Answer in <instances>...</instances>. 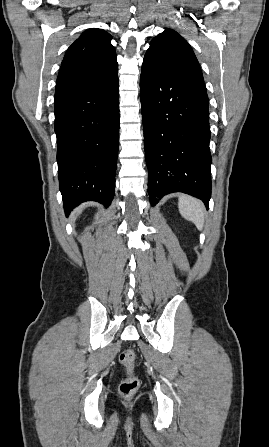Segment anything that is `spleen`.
<instances>
[{
	"label": "spleen",
	"instance_id": "obj_1",
	"mask_svg": "<svg viewBox=\"0 0 269 447\" xmlns=\"http://www.w3.org/2000/svg\"><path fill=\"white\" fill-rule=\"evenodd\" d=\"M178 208L181 216L189 222L198 227V229H203L204 227V206L200 200L196 198H191V196H185V194H180L178 198Z\"/></svg>",
	"mask_w": 269,
	"mask_h": 447
}]
</instances>
